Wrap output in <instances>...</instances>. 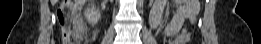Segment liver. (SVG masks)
Wrapping results in <instances>:
<instances>
[{
    "label": "liver",
    "mask_w": 261,
    "mask_h": 44,
    "mask_svg": "<svg viewBox=\"0 0 261 44\" xmlns=\"http://www.w3.org/2000/svg\"><path fill=\"white\" fill-rule=\"evenodd\" d=\"M81 29V21L78 17H75L73 19V31H74V37L79 39V32Z\"/></svg>",
    "instance_id": "obj_1"
}]
</instances>
